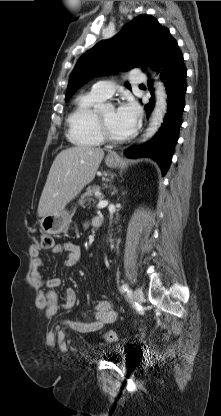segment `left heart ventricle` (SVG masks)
I'll return each mask as SVG.
<instances>
[{
  "label": "left heart ventricle",
  "instance_id": "left-heart-ventricle-1",
  "mask_svg": "<svg viewBox=\"0 0 221 416\" xmlns=\"http://www.w3.org/2000/svg\"><path fill=\"white\" fill-rule=\"evenodd\" d=\"M101 116L108 126L111 134L116 138H124L127 137V135L122 130L116 116V110L112 107L103 109L100 111Z\"/></svg>",
  "mask_w": 221,
  "mask_h": 416
}]
</instances>
